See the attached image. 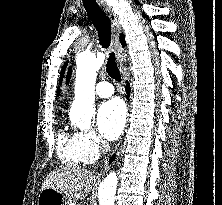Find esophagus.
Returning a JSON list of instances; mask_svg holds the SVG:
<instances>
[{
	"label": "esophagus",
	"mask_w": 222,
	"mask_h": 205,
	"mask_svg": "<svg viewBox=\"0 0 222 205\" xmlns=\"http://www.w3.org/2000/svg\"><path fill=\"white\" fill-rule=\"evenodd\" d=\"M103 10L105 11V13L108 15V17L111 20L112 46L115 51L117 60L121 64L124 61V50L119 42V35L121 32L120 21L110 6H104ZM122 145H123V143L120 142L115 147V149L113 150V152L111 153L109 158L105 161L104 167H108L109 165L113 164L118 159Z\"/></svg>",
	"instance_id": "34e87169"
}]
</instances>
